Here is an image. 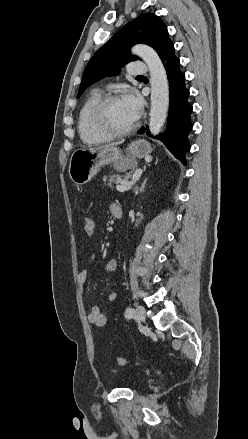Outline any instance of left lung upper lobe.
<instances>
[{
  "instance_id": "1",
  "label": "left lung upper lobe",
  "mask_w": 248,
  "mask_h": 439,
  "mask_svg": "<svg viewBox=\"0 0 248 439\" xmlns=\"http://www.w3.org/2000/svg\"><path fill=\"white\" fill-rule=\"evenodd\" d=\"M136 43L151 46L160 56L172 41L168 37L165 23L152 13L143 14L127 23L90 59L83 73L78 97L91 84L117 73L126 63L137 60L138 57L129 53L131 46Z\"/></svg>"
}]
</instances>
